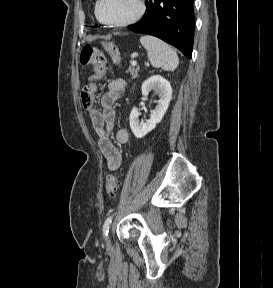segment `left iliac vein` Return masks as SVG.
Returning a JSON list of instances; mask_svg holds the SVG:
<instances>
[{
    "label": "left iliac vein",
    "instance_id": "1",
    "mask_svg": "<svg viewBox=\"0 0 273 288\" xmlns=\"http://www.w3.org/2000/svg\"><path fill=\"white\" fill-rule=\"evenodd\" d=\"M111 245V241L109 239V237L107 238V246L109 247Z\"/></svg>",
    "mask_w": 273,
    "mask_h": 288
}]
</instances>
